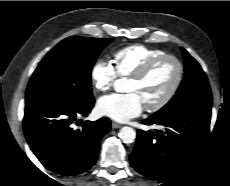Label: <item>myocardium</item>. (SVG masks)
Listing matches in <instances>:
<instances>
[{"instance_id": "f54148a6", "label": "myocardium", "mask_w": 230, "mask_h": 186, "mask_svg": "<svg viewBox=\"0 0 230 186\" xmlns=\"http://www.w3.org/2000/svg\"><path fill=\"white\" fill-rule=\"evenodd\" d=\"M163 61H172L176 66V76L174 82L172 83L171 87L167 91V93L156 103L152 105L145 106V109L149 112H156L164 108L169 102L174 98L177 91L179 90L183 78H184V65L174 55L171 54H163L157 56L148 62H146L141 68H139L134 74H132L129 78L134 81H142L144 80L154 69L157 65L162 63Z\"/></svg>"}]
</instances>
